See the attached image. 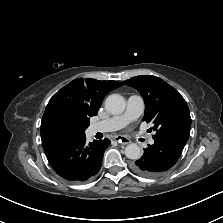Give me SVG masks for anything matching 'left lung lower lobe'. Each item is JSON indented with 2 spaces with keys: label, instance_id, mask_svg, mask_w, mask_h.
Returning <instances> with one entry per match:
<instances>
[{
  "label": "left lung lower lobe",
  "instance_id": "obj_1",
  "mask_svg": "<svg viewBox=\"0 0 223 223\" xmlns=\"http://www.w3.org/2000/svg\"><path fill=\"white\" fill-rule=\"evenodd\" d=\"M153 145L144 149L141 158L132 164V169L138 175L154 177L170 169L179 159L185 144L171 139H154Z\"/></svg>",
  "mask_w": 223,
  "mask_h": 223
}]
</instances>
